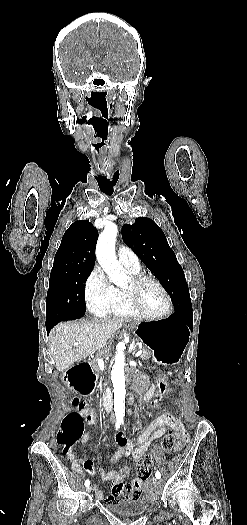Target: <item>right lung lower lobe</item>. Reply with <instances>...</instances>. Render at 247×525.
<instances>
[{
  "label": "right lung lower lobe",
  "instance_id": "1",
  "mask_svg": "<svg viewBox=\"0 0 247 525\" xmlns=\"http://www.w3.org/2000/svg\"><path fill=\"white\" fill-rule=\"evenodd\" d=\"M52 328H53V327H52ZM52 328H50V327H46L47 332L49 333V331H50Z\"/></svg>",
  "mask_w": 247,
  "mask_h": 525
}]
</instances>
